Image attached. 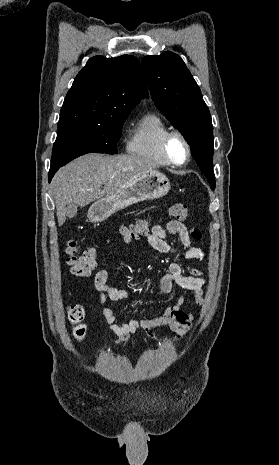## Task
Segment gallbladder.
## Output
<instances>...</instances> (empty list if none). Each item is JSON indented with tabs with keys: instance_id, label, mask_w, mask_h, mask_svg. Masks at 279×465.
I'll return each instance as SVG.
<instances>
[{
	"instance_id": "1",
	"label": "gallbladder",
	"mask_w": 279,
	"mask_h": 465,
	"mask_svg": "<svg viewBox=\"0 0 279 465\" xmlns=\"http://www.w3.org/2000/svg\"><path fill=\"white\" fill-rule=\"evenodd\" d=\"M66 209H67V214L69 215L68 216L69 218L74 217L77 213L76 206L73 204L68 205Z\"/></svg>"
}]
</instances>
